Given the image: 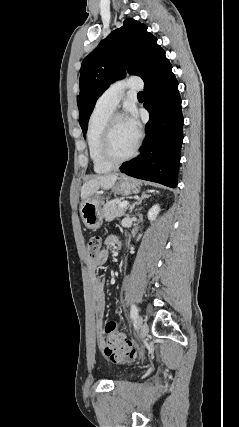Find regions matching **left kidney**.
I'll return each instance as SVG.
<instances>
[{"mask_svg":"<svg viewBox=\"0 0 239 427\" xmlns=\"http://www.w3.org/2000/svg\"><path fill=\"white\" fill-rule=\"evenodd\" d=\"M159 212H160V207H159V205H158V204H157V205H154V206L149 210V212H148V219H149L150 221L155 220V219H156V217H157V215L159 214Z\"/></svg>","mask_w":239,"mask_h":427,"instance_id":"obj_1","label":"left kidney"}]
</instances>
